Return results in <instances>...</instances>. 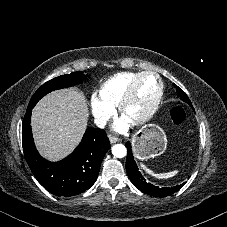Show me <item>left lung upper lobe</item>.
Wrapping results in <instances>:
<instances>
[{"instance_id": "5c2ea615", "label": "left lung upper lobe", "mask_w": 227, "mask_h": 227, "mask_svg": "<svg viewBox=\"0 0 227 227\" xmlns=\"http://www.w3.org/2000/svg\"><path fill=\"white\" fill-rule=\"evenodd\" d=\"M174 87L176 88L177 94L180 97L181 100L185 101L186 103H188L190 106H192L188 96L185 94L184 91H182V89H180L177 85L174 84Z\"/></svg>"}]
</instances>
